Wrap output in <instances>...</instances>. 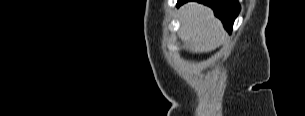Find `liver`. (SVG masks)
Returning <instances> with one entry per match:
<instances>
[{"label":"liver","mask_w":305,"mask_h":116,"mask_svg":"<svg viewBox=\"0 0 305 116\" xmlns=\"http://www.w3.org/2000/svg\"><path fill=\"white\" fill-rule=\"evenodd\" d=\"M181 22L179 38L191 43L194 53L210 52L223 44L227 34L220 20L214 17L212 9L196 3L189 2L179 11Z\"/></svg>","instance_id":"obj_1"}]
</instances>
